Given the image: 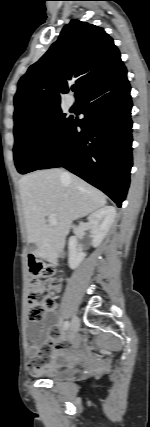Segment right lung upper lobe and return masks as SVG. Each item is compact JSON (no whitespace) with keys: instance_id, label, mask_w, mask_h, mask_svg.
<instances>
[{"instance_id":"obj_1","label":"right lung upper lobe","mask_w":150,"mask_h":427,"mask_svg":"<svg viewBox=\"0 0 150 427\" xmlns=\"http://www.w3.org/2000/svg\"><path fill=\"white\" fill-rule=\"evenodd\" d=\"M122 65L119 50L103 28L72 20L20 79L14 97V121L59 106L60 95L68 91L70 83H74L78 99Z\"/></svg>"}]
</instances>
